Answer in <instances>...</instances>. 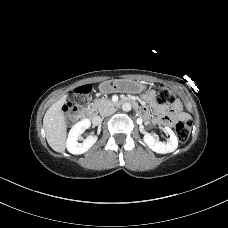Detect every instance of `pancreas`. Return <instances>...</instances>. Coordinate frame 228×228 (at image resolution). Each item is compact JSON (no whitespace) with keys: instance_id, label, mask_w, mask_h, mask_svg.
Listing matches in <instances>:
<instances>
[{"instance_id":"1","label":"pancreas","mask_w":228,"mask_h":228,"mask_svg":"<svg viewBox=\"0 0 228 228\" xmlns=\"http://www.w3.org/2000/svg\"><path fill=\"white\" fill-rule=\"evenodd\" d=\"M113 102L108 99L95 100L90 106L97 112H102L106 107L112 106Z\"/></svg>"}]
</instances>
